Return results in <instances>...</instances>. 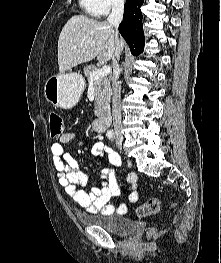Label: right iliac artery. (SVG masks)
<instances>
[{
	"label": "right iliac artery",
	"mask_w": 221,
	"mask_h": 263,
	"mask_svg": "<svg viewBox=\"0 0 221 263\" xmlns=\"http://www.w3.org/2000/svg\"><path fill=\"white\" fill-rule=\"evenodd\" d=\"M107 136H108L109 139H113L114 138V133L113 132H109L107 134Z\"/></svg>",
	"instance_id": "right-iliac-artery-1"
}]
</instances>
